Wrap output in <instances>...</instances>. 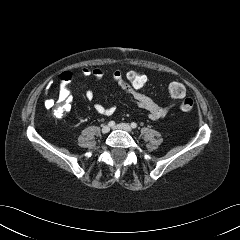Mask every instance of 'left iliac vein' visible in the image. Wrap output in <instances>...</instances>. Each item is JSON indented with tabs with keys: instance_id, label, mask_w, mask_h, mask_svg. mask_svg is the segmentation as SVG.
Instances as JSON below:
<instances>
[{
	"instance_id": "4c4485c4",
	"label": "left iliac vein",
	"mask_w": 240,
	"mask_h": 240,
	"mask_svg": "<svg viewBox=\"0 0 240 240\" xmlns=\"http://www.w3.org/2000/svg\"><path fill=\"white\" fill-rule=\"evenodd\" d=\"M114 129H119V130H124L126 132L131 133L132 132V128L130 127V125L126 124V123H120L116 126L113 127Z\"/></svg>"
}]
</instances>
